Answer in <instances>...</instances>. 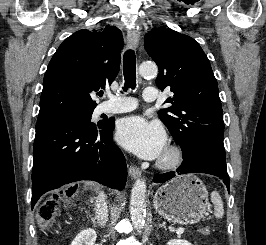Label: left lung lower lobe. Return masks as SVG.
I'll use <instances>...</instances> for the list:
<instances>
[{
  "instance_id": "1",
  "label": "left lung lower lobe",
  "mask_w": 266,
  "mask_h": 245,
  "mask_svg": "<svg viewBox=\"0 0 266 245\" xmlns=\"http://www.w3.org/2000/svg\"><path fill=\"white\" fill-rule=\"evenodd\" d=\"M183 159L181 166L175 172L157 174L154 176L153 182L163 183L177 174L206 173L222 179L229 190V175L223 142L211 138L198 139L193 151Z\"/></svg>"
}]
</instances>
